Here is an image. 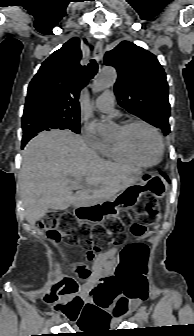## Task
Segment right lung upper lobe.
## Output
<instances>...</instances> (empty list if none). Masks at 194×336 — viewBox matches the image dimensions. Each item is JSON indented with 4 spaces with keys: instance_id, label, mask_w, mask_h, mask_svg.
<instances>
[{
    "instance_id": "cb5924a9",
    "label": "right lung upper lobe",
    "mask_w": 194,
    "mask_h": 336,
    "mask_svg": "<svg viewBox=\"0 0 194 336\" xmlns=\"http://www.w3.org/2000/svg\"><path fill=\"white\" fill-rule=\"evenodd\" d=\"M80 41L72 38L46 59L29 84L22 123L45 116L80 120L79 93L88 83ZM33 132L22 139L28 142Z\"/></svg>"
}]
</instances>
